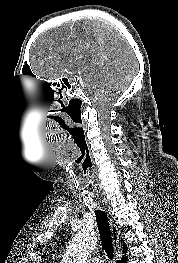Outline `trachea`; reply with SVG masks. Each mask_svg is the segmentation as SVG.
<instances>
[{"label":"trachea","instance_id":"obj_1","mask_svg":"<svg viewBox=\"0 0 178 263\" xmlns=\"http://www.w3.org/2000/svg\"><path fill=\"white\" fill-rule=\"evenodd\" d=\"M88 167L83 166L82 168V177H83V183H82V191L85 193V196L88 197V186L86 182V176L88 173ZM95 215H96V221L100 233L101 238V244L103 250H105L107 257L109 259L113 258V240H112V233H111V227L109 224L108 217L106 213L102 210L95 209Z\"/></svg>","mask_w":178,"mask_h":263}]
</instances>
